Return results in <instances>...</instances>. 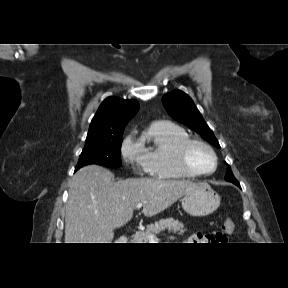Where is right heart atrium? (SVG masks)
<instances>
[{
    "instance_id": "obj_1",
    "label": "right heart atrium",
    "mask_w": 288,
    "mask_h": 288,
    "mask_svg": "<svg viewBox=\"0 0 288 288\" xmlns=\"http://www.w3.org/2000/svg\"><path fill=\"white\" fill-rule=\"evenodd\" d=\"M121 156L125 163L132 167L142 166L143 150L139 141L135 140L131 135L125 137L121 144Z\"/></svg>"
}]
</instances>
